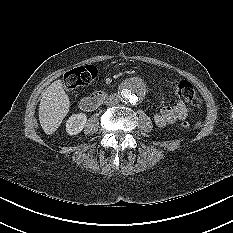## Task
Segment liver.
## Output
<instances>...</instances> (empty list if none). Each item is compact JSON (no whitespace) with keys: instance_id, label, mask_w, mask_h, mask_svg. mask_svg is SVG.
<instances>
[{"instance_id":"6515ba94","label":"liver","mask_w":233,"mask_h":233,"mask_svg":"<svg viewBox=\"0 0 233 233\" xmlns=\"http://www.w3.org/2000/svg\"><path fill=\"white\" fill-rule=\"evenodd\" d=\"M69 108V97L63 89L62 81H54L43 92L39 105V121L46 134H53L59 128Z\"/></svg>"}]
</instances>
